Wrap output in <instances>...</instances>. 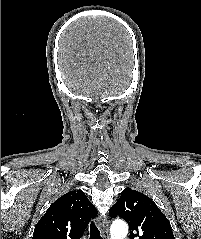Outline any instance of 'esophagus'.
I'll list each match as a JSON object with an SVG mask.
<instances>
[{"mask_svg":"<svg viewBox=\"0 0 201 239\" xmlns=\"http://www.w3.org/2000/svg\"><path fill=\"white\" fill-rule=\"evenodd\" d=\"M99 226L102 232L104 239H108V226L109 222L107 219H103L99 222Z\"/></svg>","mask_w":201,"mask_h":239,"instance_id":"1","label":"esophagus"}]
</instances>
